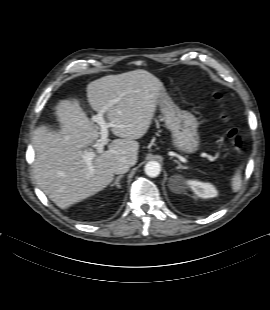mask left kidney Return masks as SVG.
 <instances>
[{
	"label": "left kidney",
	"mask_w": 270,
	"mask_h": 310,
	"mask_svg": "<svg viewBox=\"0 0 270 310\" xmlns=\"http://www.w3.org/2000/svg\"><path fill=\"white\" fill-rule=\"evenodd\" d=\"M186 184L190 186V188L198 197L213 198L218 195L216 188L210 183H203L196 180H187Z\"/></svg>",
	"instance_id": "left-kidney-1"
}]
</instances>
